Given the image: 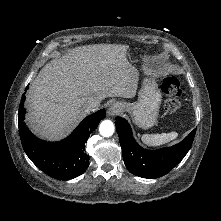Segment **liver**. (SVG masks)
I'll use <instances>...</instances> for the list:
<instances>
[{
  "instance_id": "obj_1",
  "label": "liver",
  "mask_w": 221,
  "mask_h": 221,
  "mask_svg": "<svg viewBox=\"0 0 221 221\" xmlns=\"http://www.w3.org/2000/svg\"><path fill=\"white\" fill-rule=\"evenodd\" d=\"M127 45L80 46L47 63L31 83L26 121L38 136L65 137L87 115L90 100L133 98L137 76Z\"/></svg>"
}]
</instances>
